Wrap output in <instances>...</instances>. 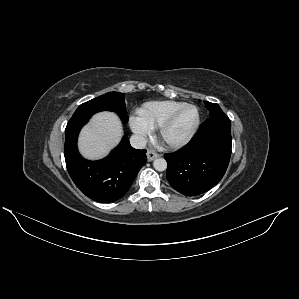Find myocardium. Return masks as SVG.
<instances>
[{"label": "myocardium", "mask_w": 299, "mask_h": 299, "mask_svg": "<svg viewBox=\"0 0 299 299\" xmlns=\"http://www.w3.org/2000/svg\"><path fill=\"white\" fill-rule=\"evenodd\" d=\"M189 107H193L196 109L197 111V119L196 122L193 126V128L190 130V132L184 136L181 139L178 140H168L166 138V132L167 130L170 128V126L174 123V121L176 120L177 116L186 108ZM200 122H201V112L200 109L194 105V104H184L183 106L177 108L176 110H174L159 126L158 128V136L160 141L162 142V144L168 148H179L182 146H185L187 143L190 142V140L194 137V135L196 134L199 126H200Z\"/></svg>", "instance_id": "myocardium-1"}]
</instances>
